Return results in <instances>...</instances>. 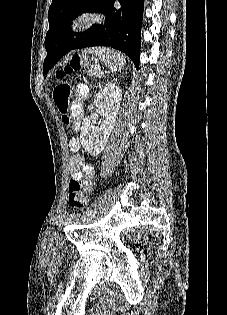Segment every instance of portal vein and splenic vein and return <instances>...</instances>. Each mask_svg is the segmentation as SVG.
Instances as JSON below:
<instances>
[{
    "label": "portal vein and splenic vein",
    "mask_w": 227,
    "mask_h": 315,
    "mask_svg": "<svg viewBox=\"0 0 227 315\" xmlns=\"http://www.w3.org/2000/svg\"><path fill=\"white\" fill-rule=\"evenodd\" d=\"M97 70H98V72L100 71V68L98 67V68H96ZM99 75V73L97 74V76Z\"/></svg>",
    "instance_id": "obj_1"
}]
</instances>
